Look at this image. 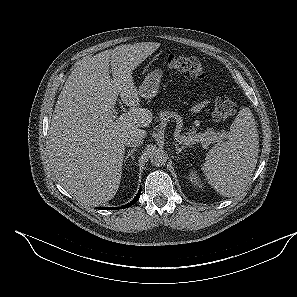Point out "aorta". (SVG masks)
Here are the masks:
<instances>
[{
	"label": "aorta",
	"instance_id": "762f6f07",
	"mask_svg": "<svg viewBox=\"0 0 297 297\" xmlns=\"http://www.w3.org/2000/svg\"><path fill=\"white\" fill-rule=\"evenodd\" d=\"M168 156L165 151L157 149L151 152L150 160L154 166L160 167L165 165L167 162Z\"/></svg>",
	"mask_w": 297,
	"mask_h": 297
}]
</instances>
